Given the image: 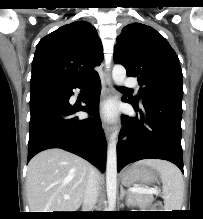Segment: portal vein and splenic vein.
<instances>
[{"instance_id":"portal-vein-and-splenic-vein-1","label":"portal vein and splenic vein","mask_w":203,"mask_h":219,"mask_svg":"<svg viewBox=\"0 0 203 219\" xmlns=\"http://www.w3.org/2000/svg\"><path fill=\"white\" fill-rule=\"evenodd\" d=\"M130 192L133 193H140V194H158V190L154 188H141V187H131L129 188ZM65 199H69L70 197L68 195L64 196Z\"/></svg>"}]
</instances>
